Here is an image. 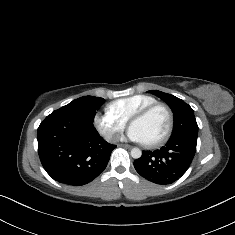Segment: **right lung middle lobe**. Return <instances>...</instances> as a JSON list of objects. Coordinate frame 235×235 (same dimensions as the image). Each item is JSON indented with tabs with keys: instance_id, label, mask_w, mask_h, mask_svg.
<instances>
[{
	"instance_id": "obj_1",
	"label": "right lung middle lobe",
	"mask_w": 235,
	"mask_h": 235,
	"mask_svg": "<svg viewBox=\"0 0 235 235\" xmlns=\"http://www.w3.org/2000/svg\"><path fill=\"white\" fill-rule=\"evenodd\" d=\"M104 102L103 98L94 96H84L73 100L69 104L56 110V112L67 113L93 122L96 110Z\"/></svg>"
}]
</instances>
